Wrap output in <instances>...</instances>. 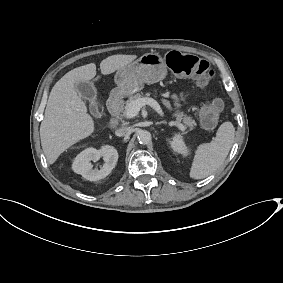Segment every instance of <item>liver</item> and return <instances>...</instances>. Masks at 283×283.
<instances>
[{
  "instance_id": "obj_1",
  "label": "liver",
  "mask_w": 283,
  "mask_h": 283,
  "mask_svg": "<svg viewBox=\"0 0 283 283\" xmlns=\"http://www.w3.org/2000/svg\"><path fill=\"white\" fill-rule=\"evenodd\" d=\"M136 55H112L100 63L101 73L110 74L131 63ZM96 75V65L90 63L67 72L53 86L40 126L41 145L49 164L81 139L94 132V122L77 94L76 85Z\"/></svg>"
}]
</instances>
